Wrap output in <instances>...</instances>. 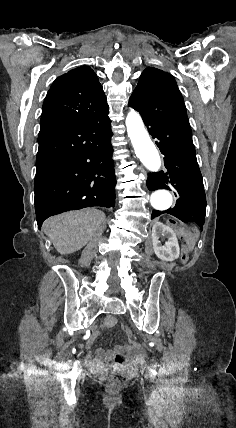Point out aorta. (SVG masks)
Masks as SVG:
<instances>
[{"mask_svg": "<svg viewBox=\"0 0 236 428\" xmlns=\"http://www.w3.org/2000/svg\"><path fill=\"white\" fill-rule=\"evenodd\" d=\"M125 124L137 157L147 170L158 172L161 167V159L158 150L145 129L140 114L133 109L130 110ZM150 203L155 210L164 211L171 207L173 198L169 191L157 190L151 195Z\"/></svg>", "mask_w": 236, "mask_h": 428, "instance_id": "1", "label": "aorta"}]
</instances>
